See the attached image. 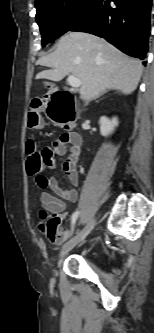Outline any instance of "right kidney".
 Segmentation results:
<instances>
[{"label":"right kidney","instance_id":"ca27d5eb","mask_svg":"<svg viewBox=\"0 0 154 333\" xmlns=\"http://www.w3.org/2000/svg\"><path fill=\"white\" fill-rule=\"evenodd\" d=\"M100 132L102 136H108L114 131V128L118 125V120L116 117L111 120L103 116L99 120Z\"/></svg>","mask_w":154,"mask_h":333}]
</instances>
